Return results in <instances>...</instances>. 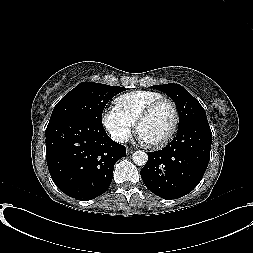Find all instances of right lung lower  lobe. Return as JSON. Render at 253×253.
Returning a JSON list of instances; mask_svg holds the SVG:
<instances>
[{
    "instance_id": "98d812e1",
    "label": "right lung lower lobe",
    "mask_w": 253,
    "mask_h": 253,
    "mask_svg": "<svg viewBox=\"0 0 253 253\" xmlns=\"http://www.w3.org/2000/svg\"><path fill=\"white\" fill-rule=\"evenodd\" d=\"M126 156L103 125L77 116L49 121L46 159L55 185L77 200H90L109 188L115 163Z\"/></svg>"
}]
</instances>
